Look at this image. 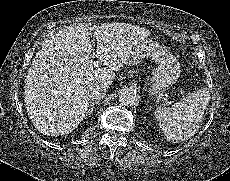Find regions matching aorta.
Wrapping results in <instances>:
<instances>
[{"instance_id": "1", "label": "aorta", "mask_w": 230, "mask_h": 181, "mask_svg": "<svg viewBox=\"0 0 230 181\" xmlns=\"http://www.w3.org/2000/svg\"><path fill=\"white\" fill-rule=\"evenodd\" d=\"M119 101L124 106H136L139 103V96L134 90L126 88L121 90Z\"/></svg>"}]
</instances>
